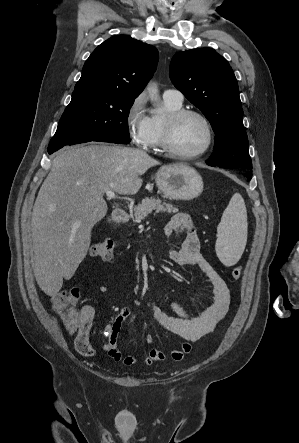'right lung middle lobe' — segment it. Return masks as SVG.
<instances>
[{
	"instance_id": "right-lung-middle-lobe-1",
	"label": "right lung middle lobe",
	"mask_w": 299,
	"mask_h": 443,
	"mask_svg": "<svg viewBox=\"0 0 299 443\" xmlns=\"http://www.w3.org/2000/svg\"><path fill=\"white\" fill-rule=\"evenodd\" d=\"M134 99L105 91H74L49 147L97 136H110L129 143L127 119Z\"/></svg>"
}]
</instances>
